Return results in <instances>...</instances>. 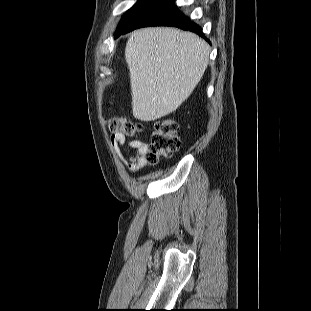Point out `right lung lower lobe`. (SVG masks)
Returning a JSON list of instances; mask_svg holds the SVG:
<instances>
[{
	"label": "right lung lower lobe",
	"instance_id": "1",
	"mask_svg": "<svg viewBox=\"0 0 311 311\" xmlns=\"http://www.w3.org/2000/svg\"><path fill=\"white\" fill-rule=\"evenodd\" d=\"M148 26H173L182 30L194 32L199 36L204 37L201 27L184 16L177 9L173 0H159L154 5L148 7L143 12H141L127 26V28L122 31L121 34L128 33L137 28ZM207 41L209 42V40Z\"/></svg>",
	"mask_w": 311,
	"mask_h": 311
}]
</instances>
